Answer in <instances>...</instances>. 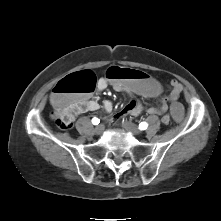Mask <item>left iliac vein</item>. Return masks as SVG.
Here are the masks:
<instances>
[{"mask_svg": "<svg viewBox=\"0 0 221 221\" xmlns=\"http://www.w3.org/2000/svg\"><path fill=\"white\" fill-rule=\"evenodd\" d=\"M122 127L126 131L131 132L135 135H139L141 133V130L136 125H134L132 122H129V121L123 122Z\"/></svg>", "mask_w": 221, "mask_h": 221, "instance_id": "left-iliac-vein-1", "label": "left iliac vein"}]
</instances>
